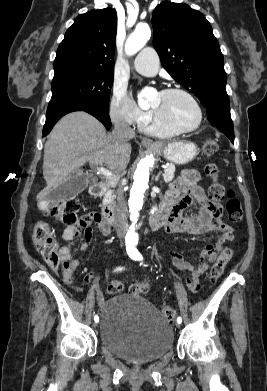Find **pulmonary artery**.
Wrapping results in <instances>:
<instances>
[{
    "instance_id": "e3ab8cb5",
    "label": "pulmonary artery",
    "mask_w": 267,
    "mask_h": 391,
    "mask_svg": "<svg viewBox=\"0 0 267 391\" xmlns=\"http://www.w3.org/2000/svg\"><path fill=\"white\" fill-rule=\"evenodd\" d=\"M134 69L144 75L153 76L159 69V56L155 49L146 47L140 51L133 61Z\"/></svg>"
}]
</instances>
